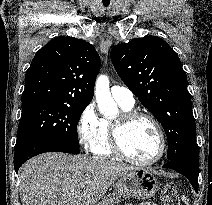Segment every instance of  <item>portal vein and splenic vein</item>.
<instances>
[{
  "mask_svg": "<svg viewBox=\"0 0 212 205\" xmlns=\"http://www.w3.org/2000/svg\"><path fill=\"white\" fill-rule=\"evenodd\" d=\"M86 183H87V182H83V183H81L80 187H81V188H84V187H85V185H86Z\"/></svg>",
  "mask_w": 212,
  "mask_h": 205,
  "instance_id": "portal-vein-and-splenic-vein-1",
  "label": "portal vein and splenic vein"
}]
</instances>
